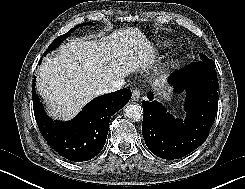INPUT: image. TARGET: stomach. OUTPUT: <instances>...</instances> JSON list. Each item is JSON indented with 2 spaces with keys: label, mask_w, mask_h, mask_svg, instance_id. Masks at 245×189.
I'll list each match as a JSON object with an SVG mask.
<instances>
[{
  "label": "stomach",
  "mask_w": 245,
  "mask_h": 189,
  "mask_svg": "<svg viewBox=\"0 0 245 189\" xmlns=\"http://www.w3.org/2000/svg\"><path fill=\"white\" fill-rule=\"evenodd\" d=\"M157 86L159 87V84ZM157 97L166 103L170 102L172 99L170 89L168 88L167 90H160V92L157 93Z\"/></svg>",
  "instance_id": "0dacf381"
}]
</instances>
